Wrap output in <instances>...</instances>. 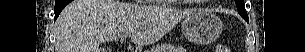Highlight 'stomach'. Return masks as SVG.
Returning a JSON list of instances; mask_svg holds the SVG:
<instances>
[{"label": "stomach", "instance_id": "1", "mask_svg": "<svg viewBox=\"0 0 305 52\" xmlns=\"http://www.w3.org/2000/svg\"><path fill=\"white\" fill-rule=\"evenodd\" d=\"M222 30V22L215 14L196 9L183 19L182 33L192 42L208 44L213 42Z\"/></svg>", "mask_w": 305, "mask_h": 52}]
</instances>
